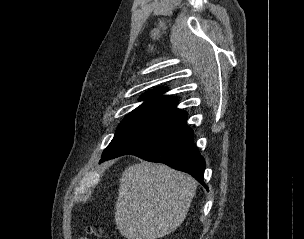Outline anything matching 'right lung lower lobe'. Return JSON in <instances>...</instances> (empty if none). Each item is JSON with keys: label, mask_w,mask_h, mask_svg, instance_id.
I'll return each mask as SVG.
<instances>
[{"label": "right lung lower lobe", "mask_w": 304, "mask_h": 239, "mask_svg": "<svg viewBox=\"0 0 304 239\" xmlns=\"http://www.w3.org/2000/svg\"><path fill=\"white\" fill-rule=\"evenodd\" d=\"M186 120L187 116L169 121L102 157L100 162L131 154L189 173L205 186L203 182L205 160L194 144L193 131L187 126ZM205 187L207 188V186Z\"/></svg>", "instance_id": "right-lung-lower-lobe-1"}]
</instances>
